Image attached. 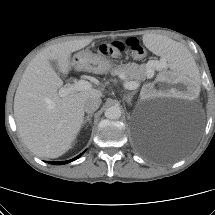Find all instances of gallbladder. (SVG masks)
<instances>
[{
  "label": "gallbladder",
  "mask_w": 215,
  "mask_h": 215,
  "mask_svg": "<svg viewBox=\"0 0 215 215\" xmlns=\"http://www.w3.org/2000/svg\"><path fill=\"white\" fill-rule=\"evenodd\" d=\"M51 66L53 67V69L58 72L61 73V71L59 70L58 64L56 61H50Z\"/></svg>",
  "instance_id": "1"
}]
</instances>
